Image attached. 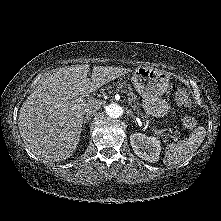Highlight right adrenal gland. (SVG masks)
I'll list each match as a JSON object with an SVG mask.
<instances>
[{
    "label": "right adrenal gland",
    "mask_w": 221,
    "mask_h": 221,
    "mask_svg": "<svg viewBox=\"0 0 221 221\" xmlns=\"http://www.w3.org/2000/svg\"><path fill=\"white\" fill-rule=\"evenodd\" d=\"M89 119V116H85L84 120H83V124H85L87 122V120Z\"/></svg>",
    "instance_id": "right-adrenal-gland-1"
}]
</instances>
